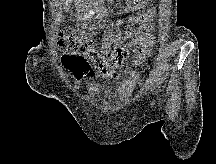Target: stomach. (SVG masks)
<instances>
[{"instance_id":"obj_1","label":"stomach","mask_w":216,"mask_h":164,"mask_svg":"<svg viewBox=\"0 0 216 164\" xmlns=\"http://www.w3.org/2000/svg\"><path fill=\"white\" fill-rule=\"evenodd\" d=\"M149 0H127L128 8L131 10L143 7ZM120 3H125V0H120ZM92 14H105V9H92ZM130 12H119L118 16L120 20H124L125 17H130Z\"/></svg>"}]
</instances>
